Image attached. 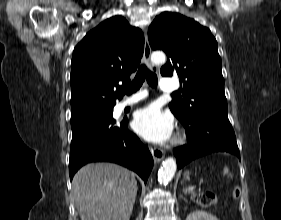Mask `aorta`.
Instances as JSON below:
<instances>
[{
  "instance_id": "1",
  "label": "aorta",
  "mask_w": 281,
  "mask_h": 220,
  "mask_svg": "<svg viewBox=\"0 0 281 220\" xmlns=\"http://www.w3.org/2000/svg\"><path fill=\"white\" fill-rule=\"evenodd\" d=\"M151 61L156 65H162L166 61V56L163 52H154L151 55ZM176 168L175 159L170 157L164 160L158 172V181L164 184L168 183L175 175Z\"/></svg>"
}]
</instances>
